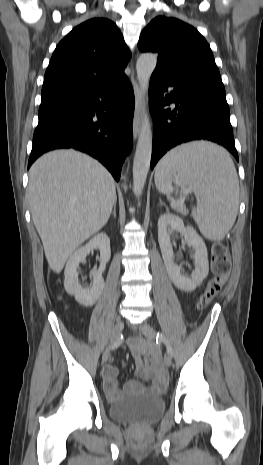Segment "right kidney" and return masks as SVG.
I'll return each mask as SVG.
<instances>
[{
	"instance_id": "1",
	"label": "right kidney",
	"mask_w": 263,
	"mask_h": 465,
	"mask_svg": "<svg viewBox=\"0 0 263 465\" xmlns=\"http://www.w3.org/2000/svg\"><path fill=\"white\" fill-rule=\"evenodd\" d=\"M94 249H99L100 251L99 269L93 277L92 287L83 288L79 284L77 268L79 263L84 261L87 255ZM110 257V240L105 233L95 235L85 246L79 248L70 256L64 271V287L69 294L74 295L78 303L84 306H92L99 299L104 288L102 273Z\"/></svg>"
}]
</instances>
